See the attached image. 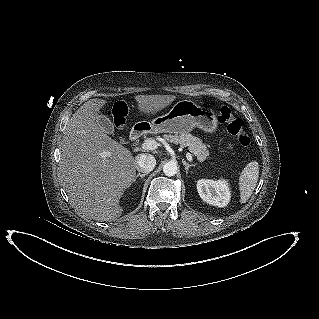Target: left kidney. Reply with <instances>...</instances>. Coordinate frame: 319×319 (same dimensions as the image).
I'll list each match as a JSON object with an SVG mask.
<instances>
[{
  "label": "left kidney",
  "mask_w": 319,
  "mask_h": 319,
  "mask_svg": "<svg viewBox=\"0 0 319 319\" xmlns=\"http://www.w3.org/2000/svg\"><path fill=\"white\" fill-rule=\"evenodd\" d=\"M197 191L203 201L214 206L225 207L230 200L228 183L224 179H201L197 182Z\"/></svg>",
  "instance_id": "5707ae66"
}]
</instances>
